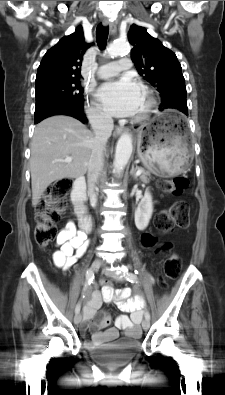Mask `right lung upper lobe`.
I'll return each instance as SVG.
<instances>
[{"instance_id": "cb5924a9", "label": "right lung upper lobe", "mask_w": 225, "mask_h": 395, "mask_svg": "<svg viewBox=\"0 0 225 395\" xmlns=\"http://www.w3.org/2000/svg\"><path fill=\"white\" fill-rule=\"evenodd\" d=\"M90 45L85 42L81 26L71 35L63 37L44 55L38 67L36 85L58 80H79L83 55Z\"/></svg>"}]
</instances>
